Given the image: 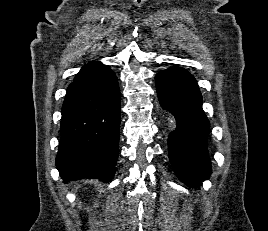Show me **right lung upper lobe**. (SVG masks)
<instances>
[{"mask_svg":"<svg viewBox=\"0 0 268 231\" xmlns=\"http://www.w3.org/2000/svg\"><path fill=\"white\" fill-rule=\"evenodd\" d=\"M96 64H98V62H97V63L92 62V63H89V64L85 65V66L79 71V73H78L75 77H79L80 75L86 73L88 70H90V69H91L92 67H94Z\"/></svg>","mask_w":268,"mask_h":231,"instance_id":"cb5924a9","label":"right lung upper lobe"}]
</instances>
